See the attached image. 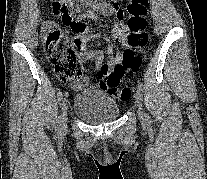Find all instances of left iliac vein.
<instances>
[{
    "label": "left iliac vein",
    "instance_id": "4c4485c4",
    "mask_svg": "<svg viewBox=\"0 0 207 179\" xmlns=\"http://www.w3.org/2000/svg\"><path fill=\"white\" fill-rule=\"evenodd\" d=\"M135 102L138 108V114L139 117L142 121L146 120V115L144 114L143 110H142V96L140 94L139 91H137V93L135 94Z\"/></svg>",
    "mask_w": 207,
    "mask_h": 179
}]
</instances>
